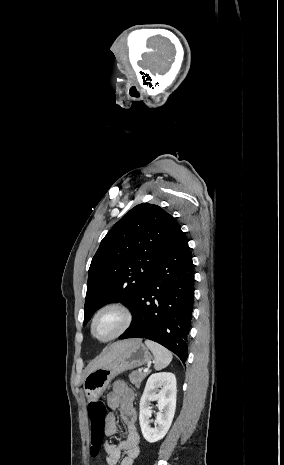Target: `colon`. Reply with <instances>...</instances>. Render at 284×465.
<instances>
[{"label":"colon","mask_w":284,"mask_h":465,"mask_svg":"<svg viewBox=\"0 0 284 465\" xmlns=\"http://www.w3.org/2000/svg\"><path fill=\"white\" fill-rule=\"evenodd\" d=\"M105 411V405L102 401L93 402V404L88 405V436L92 438L90 445L88 447V454L92 455V459H96L99 454V448H103L105 442L101 438H106L107 431L109 428V423L107 420L106 413H101Z\"/></svg>","instance_id":"5ec220e1"}]
</instances>
